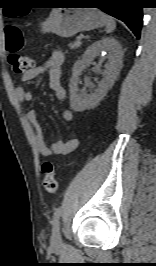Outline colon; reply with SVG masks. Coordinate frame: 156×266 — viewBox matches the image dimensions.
Returning a JSON list of instances; mask_svg holds the SVG:
<instances>
[{
    "mask_svg": "<svg viewBox=\"0 0 156 266\" xmlns=\"http://www.w3.org/2000/svg\"><path fill=\"white\" fill-rule=\"evenodd\" d=\"M24 44L25 37L21 29L14 25H8L5 28V47L9 53V62L16 73L25 72L33 67L34 64L30 57L19 53ZM42 171L44 173V189L50 194H55L58 185L54 165L46 161L42 164Z\"/></svg>",
    "mask_w": 156,
    "mask_h": 266,
    "instance_id": "5ec220e1",
    "label": "colon"
}]
</instances>
